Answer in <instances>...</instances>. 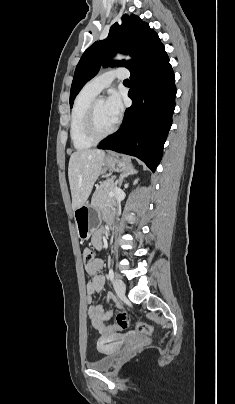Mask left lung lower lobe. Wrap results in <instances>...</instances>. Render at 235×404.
Instances as JSON below:
<instances>
[{
  "instance_id": "0a47b994",
  "label": "left lung lower lobe",
  "mask_w": 235,
  "mask_h": 404,
  "mask_svg": "<svg viewBox=\"0 0 235 404\" xmlns=\"http://www.w3.org/2000/svg\"><path fill=\"white\" fill-rule=\"evenodd\" d=\"M132 87L120 129L104 139L99 149L135 156L151 171L159 164L172 125L176 86L164 46L131 72Z\"/></svg>"
}]
</instances>
